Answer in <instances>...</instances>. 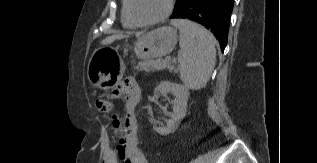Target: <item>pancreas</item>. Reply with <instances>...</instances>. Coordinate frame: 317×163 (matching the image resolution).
Returning <instances> with one entry per match:
<instances>
[{
	"instance_id": "1",
	"label": "pancreas",
	"mask_w": 317,
	"mask_h": 163,
	"mask_svg": "<svg viewBox=\"0 0 317 163\" xmlns=\"http://www.w3.org/2000/svg\"><path fill=\"white\" fill-rule=\"evenodd\" d=\"M172 69V66L170 65V62L168 59L162 60H147V61H140L136 66H134V69L140 70V71H152V70H162V69Z\"/></svg>"
}]
</instances>
